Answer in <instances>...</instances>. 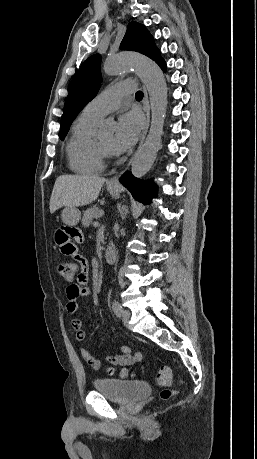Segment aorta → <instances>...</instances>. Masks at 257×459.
<instances>
[{
  "instance_id": "obj_1",
  "label": "aorta",
  "mask_w": 257,
  "mask_h": 459,
  "mask_svg": "<svg viewBox=\"0 0 257 459\" xmlns=\"http://www.w3.org/2000/svg\"><path fill=\"white\" fill-rule=\"evenodd\" d=\"M104 72L108 75L134 69L145 84L151 106V126L141 149L134 156L131 164L132 174L143 177L152 167L160 146L167 107V84L160 67L151 59L137 55L120 53L109 56L104 63ZM111 122H105L103 132H110Z\"/></svg>"
}]
</instances>
